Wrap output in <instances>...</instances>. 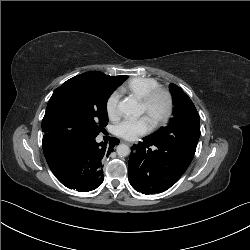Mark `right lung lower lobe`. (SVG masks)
Here are the masks:
<instances>
[{"label": "right lung lower lobe", "instance_id": "right-lung-lower-lobe-1", "mask_svg": "<svg viewBox=\"0 0 250 250\" xmlns=\"http://www.w3.org/2000/svg\"><path fill=\"white\" fill-rule=\"evenodd\" d=\"M117 144L119 139L115 137L108 145L83 135L43 137V151L51 171L63 185L79 192L101 185L102 162Z\"/></svg>", "mask_w": 250, "mask_h": 250}]
</instances>
